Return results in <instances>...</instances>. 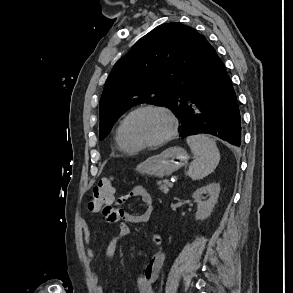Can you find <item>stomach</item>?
Returning a JSON list of instances; mask_svg holds the SVG:
<instances>
[{"instance_id": "obj_1", "label": "stomach", "mask_w": 293, "mask_h": 293, "mask_svg": "<svg viewBox=\"0 0 293 293\" xmlns=\"http://www.w3.org/2000/svg\"><path fill=\"white\" fill-rule=\"evenodd\" d=\"M188 161L187 152L178 146L170 147L138 164L136 170L155 177L169 176Z\"/></svg>"}]
</instances>
